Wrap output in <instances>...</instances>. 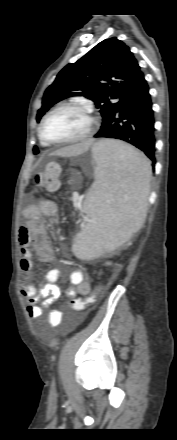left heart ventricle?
I'll use <instances>...</instances> for the list:
<instances>
[{
	"mask_svg": "<svg viewBox=\"0 0 177 440\" xmlns=\"http://www.w3.org/2000/svg\"><path fill=\"white\" fill-rule=\"evenodd\" d=\"M87 116L74 109H65L53 114L45 124L44 136L51 141H63L81 136L88 128Z\"/></svg>",
	"mask_w": 177,
	"mask_h": 440,
	"instance_id": "1",
	"label": "left heart ventricle"
}]
</instances>
